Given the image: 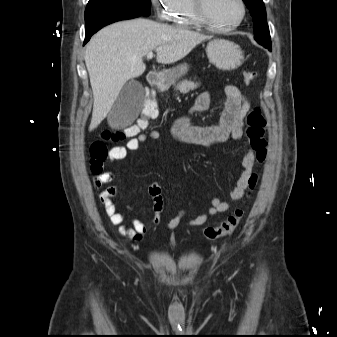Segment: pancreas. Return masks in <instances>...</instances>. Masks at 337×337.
<instances>
[{"mask_svg":"<svg viewBox=\"0 0 337 337\" xmlns=\"http://www.w3.org/2000/svg\"><path fill=\"white\" fill-rule=\"evenodd\" d=\"M199 86L198 83H194L192 81H188V80H183L181 82H179L177 85H175V89L179 90L180 93H188L191 90L196 89Z\"/></svg>","mask_w":337,"mask_h":337,"instance_id":"1","label":"pancreas"}]
</instances>
